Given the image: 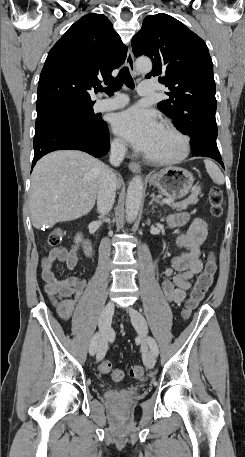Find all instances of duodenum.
<instances>
[{
	"label": "duodenum",
	"mask_w": 245,
	"mask_h": 457,
	"mask_svg": "<svg viewBox=\"0 0 245 457\" xmlns=\"http://www.w3.org/2000/svg\"><path fill=\"white\" fill-rule=\"evenodd\" d=\"M84 248H85L86 255L91 257L92 253H93V250H92V244H91V242L89 240L85 241Z\"/></svg>",
	"instance_id": "duodenum-1"
}]
</instances>
